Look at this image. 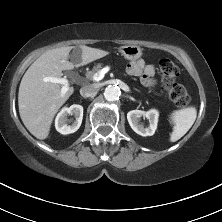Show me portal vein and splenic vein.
<instances>
[{
    "label": "portal vein and splenic vein",
    "mask_w": 222,
    "mask_h": 222,
    "mask_svg": "<svg viewBox=\"0 0 222 222\" xmlns=\"http://www.w3.org/2000/svg\"><path fill=\"white\" fill-rule=\"evenodd\" d=\"M106 72H107V70L105 68L101 69L99 72L94 74L93 80H95L97 82L102 80ZM44 80L46 82L61 84L62 85V88H61L62 95L65 94L69 89V82L66 78L46 77Z\"/></svg>",
    "instance_id": "18ae733b"
}]
</instances>
